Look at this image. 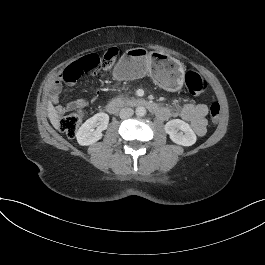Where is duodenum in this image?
Wrapping results in <instances>:
<instances>
[{
    "mask_svg": "<svg viewBox=\"0 0 265 265\" xmlns=\"http://www.w3.org/2000/svg\"><path fill=\"white\" fill-rule=\"evenodd\" d=\"M125 106H133V107H146L150 112L155 114L157 117H161L164 115L165 110L162 106L157 104L156 102L141 99V98H116L112 99L106 106V110L110 114H116L121 108Z\"/></svg>",
    "mask_w": 265,
    "mask_h": 265,
    "instance_id": "410a0bca",
    "label": "duodenum"
}]
</instances>
